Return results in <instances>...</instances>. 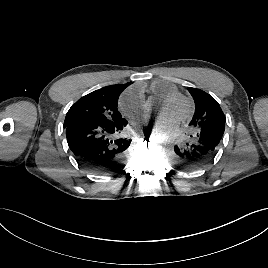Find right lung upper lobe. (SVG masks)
<instances>
[{"instance_id":"right-lung-upper-lobe-1","label":"right lung upper lobe","mask_w":268,"mask_h":268,"mask_svg":"<svg viewBox=\"0 0 268 268\" xmlns=\"http://www.w3.org/2000/svg\"><path fill=\"white\" fill-rule=\"evenodd\" d=\"M130 83H127V84H116V85H111L110 87L112 88H116V89H121L122 91L128 86L130 85Z\"/></svg>"}]
</instances>
